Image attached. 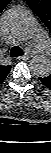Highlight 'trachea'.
<instances>
[{"instance_id": "1", "label": "trachea", "mask_w": 51, "mask_h": 153, "mask_svg": "<svg viewBox=\"0 0 51 153\" xmlns=\"http://www.w3.org/2000/svg\"><path fill=\"white\" fill-rule=\"evenodd\" d=\"M23 55H24V52L20 47H18V46L12 47V49L10 51L11 57H19V56H23Z\"/></svg>"}]
</instances>
